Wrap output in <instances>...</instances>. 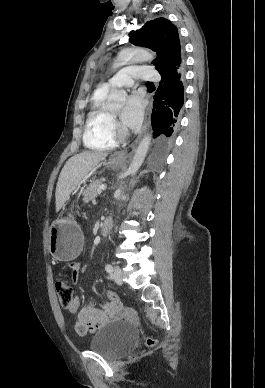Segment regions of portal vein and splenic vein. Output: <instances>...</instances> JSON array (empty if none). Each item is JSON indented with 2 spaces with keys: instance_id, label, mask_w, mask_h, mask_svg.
<instances>
[{
  "instance_id": "18ae733b",
  "label": "portal vein and splenic vein",
  "mask_w": 265,
  "mask_h": 388,
  "mask_svg": "<svg viewBox=\"0 0 265 388\" xmlns=\"http://www.w3.org/2000/svg\"><path fill=\"white\" fill-rule=\"evenodd\" d=\"M99 188H100V190H106V186H103V184H102V186H99Z\"/></svg>"
}]
</instances>
